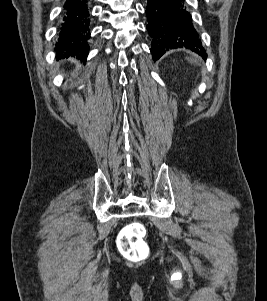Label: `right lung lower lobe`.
<instances>
[{
	"mask_svg": "<svg viewBox=\"0 0 267 301\" xmlns=\"http://www.w3.org/2000/svg\"><path fill=\"white\" fill-rule=\"evenodd\" d=\"M89 32L90 13L87 0H66L55 48L58 58L74 56L86 60Z\"/></svg>",
	"mask_w": 267,
	"mask_h": 301,
	"instance_id": "1",
	"label": "right lung lower lobe"
}]
</instances>
